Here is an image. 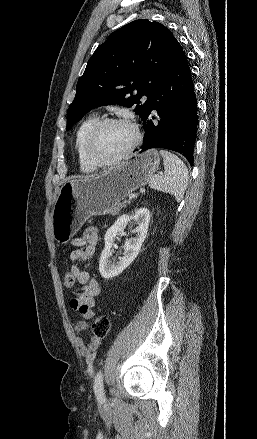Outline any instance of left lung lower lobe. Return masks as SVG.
Listing matches in <instances>:
<instances>
[{"label":"left lung lower lobe","mask_w":257,"mask_h":439,"mask_svg":"<svg viewBox=\"0 0 257 439\" xmlns=\"http://www.w3.org/2000/svg\"><path fill=\"white\" fill-rule=\"evenodd\" d=\"M143 125L142 151L169 149L182 154L193 164L198 126L197 101L190 67L179 43L168 69L153 91Z\"/></svg>","instance_id":"0a47b994"}]
</instances>
